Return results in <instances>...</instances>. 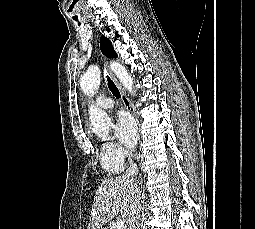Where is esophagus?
Masks as SVG:
<instances>
[{
    "label": "esophagus",
    "instance_id": "obj_1",
    "mask_svg": "<svg viewBox=\"0 0 255 229\" xmlns=\"http://www.w3.org/2000/svg\"><path fill=\"white\" fill-rule=\"evenodd\" d=\"M106 65H108V62H106ZM108 72H109L110 77L113 79V81L115 82L117 88L120 91L121 99H122V102H123L125 108L133 115V117L135 118L137 124L139 125V118H138L135 107L131 104L129 98L127 97L125 91L123 90L121 84L116 79L115 75L110 70H108ZM137 159H139V154L137 156Z\"/></svg>",
    "mask_w": 255,
    "mask_h": 229
}]
</instances>
